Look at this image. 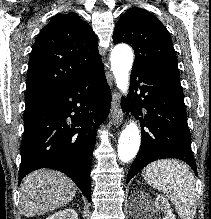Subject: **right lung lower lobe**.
I'll return each mask as SVG.
<instances>
[{"mask_svg": "<svg viewBox=\"0 0 211 219\" xmlns=\"http://www.w3.org/2000/svg\"><path fill=\"white\" fill-rule=\"evenodd\" d=\"M110 106L103 66L26 105L19 183L34 170L52 168L69 176L90 202L93 147Z\"/></svg>", "mask_w": 211, "mask_h": 219, "instance_id": "98d812e1", "label": "right lung lower lobe"}]
</instances>
